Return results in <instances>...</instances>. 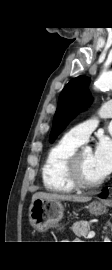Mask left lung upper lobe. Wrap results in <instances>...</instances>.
<instances>
[{"mask_svg":"<svg viewBox=\"0 0 112 270\" xmlns=\"http://www.w3.org/2000/svg\"><path fill=\"white\" fill-rule=\"evenodd\" d=\"M89 82L90 78L88 77H76L61 92L53 120L50 142L56 139L78 112L91 104L92 97L88 90Z\"/></svg>","mask_w":112,"mask_h":270,"instance_id":"5c2ea615","label":"left lung upper lobe"}]
</instances>
